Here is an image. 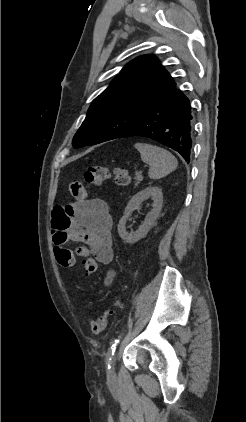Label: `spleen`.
I'll return each instance as SVG.
<instances>
[{
	"mask_svg": "<svg viewBox=\"0 0 246 422\" xmlns=\"http://www.w3.org/2000/svg\"><path fill=\"white\" fill-rule=\"evenodd\" d=\"M135 148L140 152L142 161L149 165L151 179H160L177 168V159L166 149L146 143H136Z\"/></svg>",
	"mask_w": 246,
	"mask_h": 422,
	"instance_id": "1",
	"label": "spleen"
}]
</instances>
